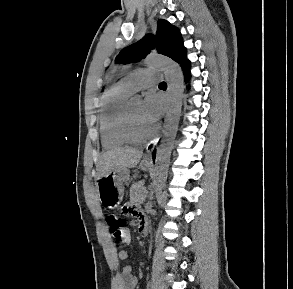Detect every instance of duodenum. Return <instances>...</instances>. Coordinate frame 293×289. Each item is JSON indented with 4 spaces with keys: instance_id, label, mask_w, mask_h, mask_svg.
Listing matches in <instances>:
<instances>
[{
    "instance_id": "410a0bca",
    "label": "duodenum",
    "mask_w": 293,
    "mask_h": 289,
    "mask_svg": "<svg viewBox=\"0 0 293 289\" xmlns=\"http://www.w3.org/2000/svg\"><path fill=\"white\" fill-rule=\"evenodd\" d=\"M139 227H140V232H141L142 235H146L148 233L149 224H148L146 218H142L140 220V226Z\"/></svg>"
}]
</instances>
